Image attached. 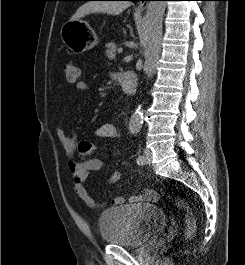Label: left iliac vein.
Returning a JSON list of instances; mask_svg holds the SVG:
<instances>
[{
  "instance_id": "left-iliac-vein-1",
  "label": "left iliac vein",
  "mask_w": 245,
  "mask_h": 265,
  "mask_svg": "<svg viewBox=\"0 0 245 265\" xmlns=\"http://www.w3.org/2000/svg\"><path fill=\"white\" fill-rule=\"evenodd\" d=\"M144 161L143 164L148 165L151 163V159H152V152L150 149L146 148L144 149Z\"/></svg>"
}]
</instances>
